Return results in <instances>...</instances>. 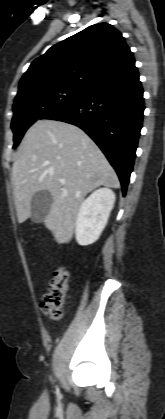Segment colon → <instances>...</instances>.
I'll return each instance as SVG.
<instances>
[{"label":"colon","mask_w":165,"mask_h":419,"mask_svg":"<svg viewBox=\"0 0 165 419\" xmlns=\"http://www.w3.org/2000/svg\"><path fill=\"white\" fill-rule=\"evenodd\" d=\"M68 282V271L62 267L57 268L41 302L42 312L54 320L62 317V307L68 291Z\"/></svg>","instance_id":"colon-1"}]
</instances>
